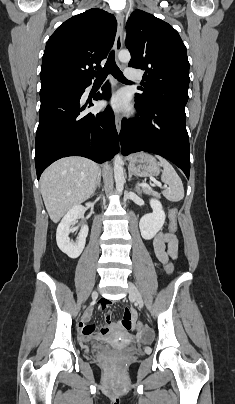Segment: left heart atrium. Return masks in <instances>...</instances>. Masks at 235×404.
I'll list each match as a JSON object with an SVG mask.
<instances>
[{
  "label": "left heart atrium",
  "mask_w": 235,
  "mask_h": 404,
  "mask_svg": "<svg viewBox=\"0 0 235 404\" xmlns=\"http://www.w3.org/2000/svg\"><path fill=\"white\" fill-rule=\"evenodd\" d=\"M106 104L116 112H127L130 109L129 98L125 92H117Z\"/></svg>",
  "instance_id": "left-heart-atrium-1"
}]
</instances>
